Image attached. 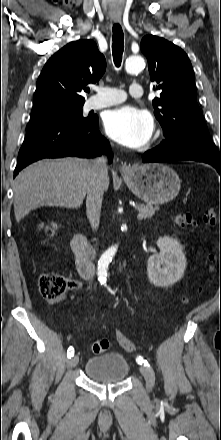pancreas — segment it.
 <instances>
[{"label": "pancreas", "mask_w": 221, "mask_h": 440, "mask_svg": "<svg viewBox=\"0 0 221 440\" xmlns=\"http://www.w3.org/2000/svg\"><path fill=\"white\" fill-rule=\"evenodd\" d=\"M136 209L144 215L143 218H151L155 212L159 210V207H154L152 205H137ZM89 254H92V251H89Z\"/></svg>", "instance_id": "pancreas-1"}]
</instances>
